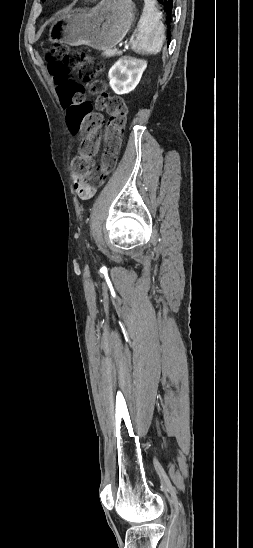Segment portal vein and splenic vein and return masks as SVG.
I'll return each instance as SVG.
<instances>
[{
	"instance_id": "18ae733b",
	"label": "portal vein and splenic vein",
	"mask_w": 253,
	"mask_h": 548,
	"mask_svg": "<svg viewBox=\"0 0 253 548\" xmlns=\"http://www.w3.org/2000/svg\"><path fill=\"white\" fill-rule=\"evenodd\" d=\"M134 37H135V36H132V37L130 38V42H132V41L134 40ZM116 52H117L118 54L122 53L121 50H116Z\"/></svg>"
}]
</instances>
